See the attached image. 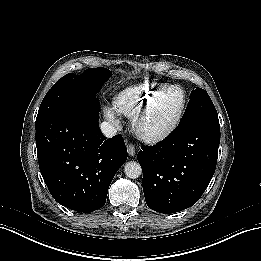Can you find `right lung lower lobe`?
Wrapping results in <instances>:
<instances>
[{
  "label": "right lung lower lobe",
  "instance_id": "98d812e1",
  "mask_svg": "<svg viewBox=\"0 0 261 261\" xmlns=\"http://www.w3.org/2000/svg\"><path fill=\"white\" fill-rule=\"evenodd\" d=\"M98 116L97 108L76 102L36 124L43 179L56 201L80 212L105 204L111 180L127 158L120 135L104 141Z\"/></svg>",
  "mask_w": 261,
  "mask_h": 261
}]
</instances>
